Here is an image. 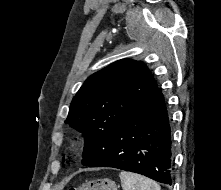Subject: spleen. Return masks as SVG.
Instances as JSON below:
<instances>
[{"label": "spleen", "instance_id": "3e777b00", "mask_svg": "<svg viewBox=\"0 0 221 190\" xmlns=\"http://www.w3.org/2000/svg\"><path fill=\"white\" fill-rule=\"evenodd\" d=\"M119 177L123 190H161L156 182L135 173L121 171Z\"/></svg>", "mask_w": 221, "mask_h": 190}]
</instances>
